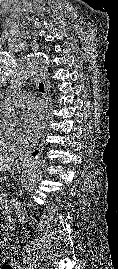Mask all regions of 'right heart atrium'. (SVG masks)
<instances>
[{"label": "right heart atrium", "mask_w": 118, "mask_h": 269, "mask_svg": "<svg viewBox=\"0 0 118 269\" xmlns=\"http://www.w3.org/2000/svg\"><path fill=\"white\" fill-rule=\"evenodd\" d=\"M0 140L15 149H20L27 144L25 134L17 128L0 129Z\"/></svg>", "instance_id": "d8ad5b80"}]
</instances>
